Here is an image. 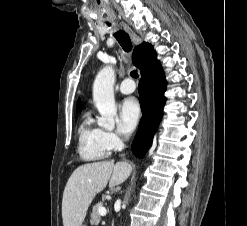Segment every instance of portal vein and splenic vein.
Wrapping results in <instances>:
<instances>
[{
  "mask_svg": "<svg viewBox=\"0 0 247 226\" xmlns=\"http://www.w3.org/2000/svg\"><path fill=\"white\" fill-rule=\"evenodd\" d=\"M98 211L101 216H105L107 214V210L104 207H100Z\"/></svg>",
  "mask_w": 247,
  "mask_h": 226,
  "instance_id": "1",
  "label": "portal vein and splenic vein"
}]
</instances>
